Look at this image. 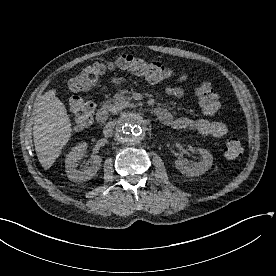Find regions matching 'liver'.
Listing matches in <instances>:
<instances>
[{
  "label": "liver",
  "instance_id": "liver-1",
  "mask_svg": "<svg viewBox=\"0 0 276 276\" xmlns=\"http://www.w3.org/2000/svg\"><path fill=\"white\" fill-rule=\"evenodd\" d=\"M33 139L38 160L49 169L72 136L67 109L56 96V90L43 94L33 110Z\"/></svg>",
  "mask_w": 276,
  "mask_h": 276
}]
</instances>
